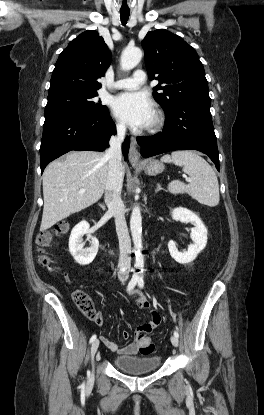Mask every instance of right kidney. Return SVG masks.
Instances as JSON below:
<instances>
[{"label": "right kidney", "instance_id": "obj_1", "mask_svg": "<svg viewBox=\"0 0 264 415\" xmlns=\"http://www.w3.org/2000/svg\"><path fill=\"white\" fill-rule=\"evenodd\" d=\"M89 223L81 221L71 231L69 238V251L75 261L80 265L90 264L97 255L99 248V241L90 235ZM87 235L90 240L91 246L89 248H83V236Z\"/></svg>", "mask_w": 264, "mask_h": 415}]
</instances>
